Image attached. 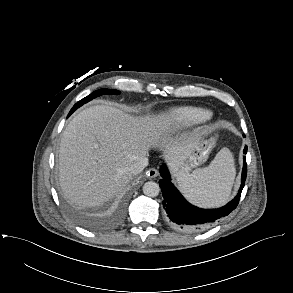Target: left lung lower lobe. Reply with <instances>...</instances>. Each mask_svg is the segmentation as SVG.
<instances>
[{
  "label": "left lung lower lobe",
  "instance_id": "obj_1",
  "mask_svg": "<svg viewBox=\"0 0 293 293\" xmlns=\"http://www.w3.org/2000/svg\"><path fill=\"white\" fill-rule=\"evenodd\" d=\"M244 153H247V147L244 148ZM160 174L162 179L159 184L164 198L163 207L166 211L168 223L179 231L193 233L210 228L236 208L245 184L247 163L246 157H244L241 186L238 194L232 201L218 209H202L186 201L172 184L165 164L161 166Z\"/></svg>",
  "mask_w": 293,
  "mask_h": 293
}]
</instances>
